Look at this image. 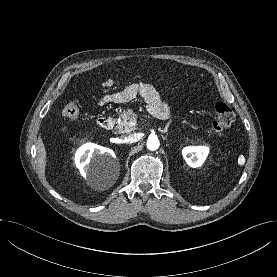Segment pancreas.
Returning a JSON list of instances; mask_svg holds the SVG:
<instances>
[{
  "instance_id": "cf45deb5",
  "label": "pancreas",
  "mask_w": 277,
  "mask_h": 277,
  "mask_svg": "<svg viewBox=\"0 0 277 277\" xmlns=\"http://www.w3.org/2000/svg\"><path fill=\"white\" fill-rule=\"evenodd\" d=\"M137 120V115L133 112L132 109L124 110L120 114V118L117 120L116 129L119 132H130L134 130V127L131 125V122Z\"/></svg>"
}]
</instances>
